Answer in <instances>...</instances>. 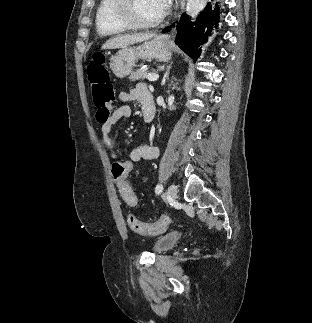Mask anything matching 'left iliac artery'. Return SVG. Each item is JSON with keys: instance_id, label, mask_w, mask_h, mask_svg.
I'll use <instances>...</instances> for the list:
<instances>
[{"instance_id": "obj_1", "label": "left iliac artery", "mask_w": 312, "mask_h": 323, "mask_svg": "<svg viewBox=\"0 0 312 323\" xmlns=\"http://www.w3.org/2000/svg\"><path fill=\"white\" fill-rule=\"evenodd\" d=\"M162 190H163V185H162V184H158V185L156 186V188H155V192H156V194L161 193V192H162Z\"/></svg>"}]
</instances>
